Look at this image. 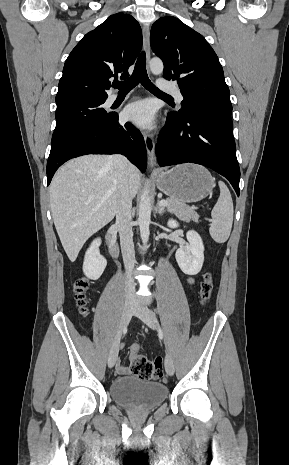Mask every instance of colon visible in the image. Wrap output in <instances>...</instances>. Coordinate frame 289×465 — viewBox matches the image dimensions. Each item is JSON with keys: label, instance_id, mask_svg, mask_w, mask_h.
I'll list each match as a JSON object with an SVG mask.
<instances>
[{"label": "colon", "instance_id": "1", "mask_svg": "<svg viewBox=\"0 0 289 465\" xmlns=\"http://www.w3.org/2000/svg\"><path fill=\"white\" fill-rule=\"evenodd\" d=\"M89 287V281L86 278H79L73 284V293L80 312L85 314L86 309V292ZM213 291V276L211 272H206L200 285V303L205 305L211 297ZM140 346L133 344L131 351V368L135 375L147 380H157L163 376L162 359H148L139 353Z\"/></svg>", "mask_w": 289, "mask_h": 465}]
</instances>
